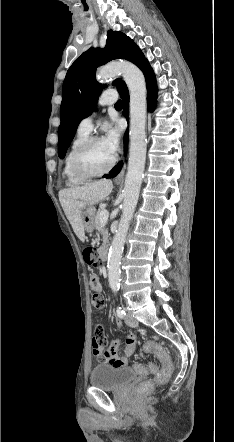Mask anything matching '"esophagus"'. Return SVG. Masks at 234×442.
Segmentation results:
<instances>
[{"label":"esophagus","mask_w":234,"mask_h":442,"mask_svg":"<svg viewBox=\"0 0 234 442\" xmlns=\"http://www.w3.org/2000/svg\"><path fill=\"white\" fill-rule=\"evenodd\" d=\"M126 165L124 164L121 171L116 175L115 181L121 182L124 180Z\"/></svg>","instance_id":"obj_1"}]
</instances>
